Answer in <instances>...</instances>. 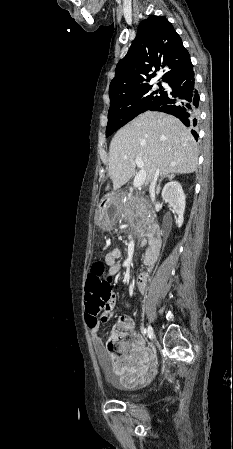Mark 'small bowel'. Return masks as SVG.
Segmentation results:
<instances>
[{
    "label": "small bowel",
    "instance_id": "small-bowel-1",
    "mask_svg": "<svg viewBox=\"0 0 233 449\" xmlns=\"http://www.w3.org/2000/svg\"><path fill=\"white\" fill-rule=\"evenodd\" d=\"M121 255L119 248H113L105 256L107 268L104 277L112 280L121 270ZM151 275L147 272H140L136 282V290L144 292L147 287L148 279ZM108 298L113 296L111 291L106 293ZM112 301V298H111ZM104 310L108 311L100 314L99 322L95 326H90V337L94 352L100 361L104 370L116 375L122 384L126 386H136L147 378V371L153 365V351L145 346L144 338L138 334L134 335L135 343L126 349L119 350V354H110L105 348L100 336L99 327L101 323L108 322L113 316V305L106 302L103 305ZM86 320V318H85Z\"/></svg>",
    "mask_w": 233,
    "mask_h": 449
}]
</instances>
